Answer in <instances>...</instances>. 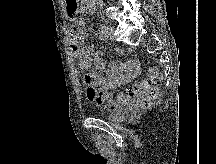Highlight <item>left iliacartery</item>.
<instances>
[{"label":"left iliac artery","mask_w":216,"mask_h":164,"mask_svg":"<svg viewBox=\"0 0 216 164\" xmlns=\"http://www.w3.org/2000/svg\"><path fill=\"white\" fill-rule=\"evenodd\" d=\"M101 32H102V34H104L106 37H108V36H107V33H108V26H106L105 24H102V25H101Z\"/></svg>","instance_id":"1"}]
</instances>
